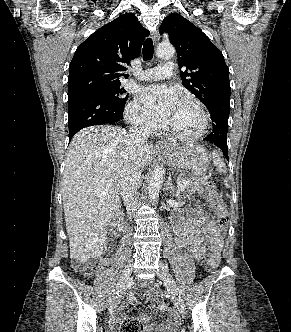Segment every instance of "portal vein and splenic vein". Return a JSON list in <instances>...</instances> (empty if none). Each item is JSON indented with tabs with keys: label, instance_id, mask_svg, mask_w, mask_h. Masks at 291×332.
<instances>
[{
	"label": "portal vein and splenic vein",
	"instance_id": "obj_1",
	"mask_svg": "<svg viewBox=\"0 0 291 332\" xmlns=\"http://www.w3.org/2000/svg\"><path fill=\"white\" fill-rule=\"evenodd\" d=\"M187 184H188V181H184V182L180 183L179 184L180 190L184 191L186 189Z\"/></svg>",
	"mask_w": 291,
	"mask_h": 332
}]
</instances>
